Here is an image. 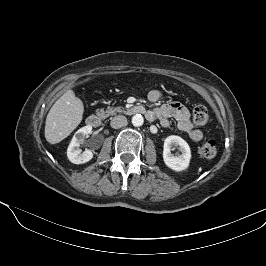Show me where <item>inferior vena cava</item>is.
<instances>
[{
    "label": "inferior vena cava",
    "instance_id": "inferior-vena-cava-1",
    "mask_svg": "<svg viewBox=\"0 0 266 266\" xmlns=\"http://www.w3.org/2000/svg\"><path fill=\"white\" fill-rule=\"evenodd\" d=\"M127 124V118L122 115L115 116L111 119L110 125L114 129L121 128Z\"/></svg>",
    "mask_w": 266,
    "mask_h": 266
}]
</instances>
